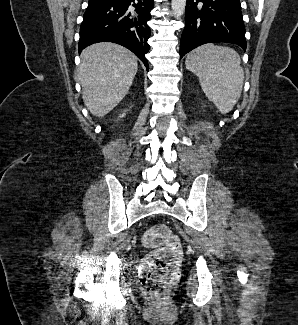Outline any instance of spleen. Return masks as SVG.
<instances>
[{"mask_svg":"<svg viewBox=\"0 0 298 325\" xmlns=\"http://www.w3.org/2000/svg\"><path fill=\"white\" fill-rule=\"evenodd\" d=\"M186 68L198 76L203 92L222 114L232 110L242 92L244 70L230 46L202 44L187 54Z\"/></svg>","mask_w":298,"mask_h":325,"instance_id":"3e777b00","label":"spleen"}]
</instances>
